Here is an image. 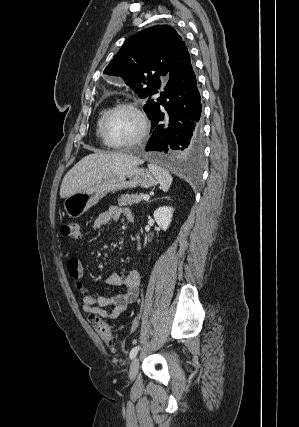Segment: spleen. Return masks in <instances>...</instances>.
Segmentation results:
<instances>
[{"label":"spleen","instance_id":"spleen-1","mask_svg":"<svg viewBox=\"0 0 299 427\" xmlns=\"http://www.w3.org/2000/svg\"><path fill=\"white\" fill-rule=\"evenodd\" d=\"M148 169L152 172V174L155 176L156 180L158 181V183L160 184V187L162 188L163 191H168V189L170 188L173 178L171 176V174L155 165V164H148Z\"/></svg>","mask_w":299,"mask_h":427}]
</instances>
